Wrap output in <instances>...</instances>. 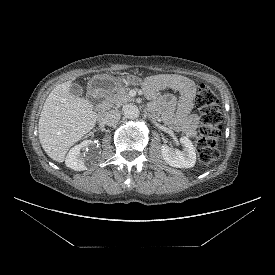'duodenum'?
Wrapping results in <instances>:
<instances>
[{"instance_id": "1", "label": "duodenum", "mask_w": 275, "mask_h": 275, "mask_svg": "<svg viewBox=\"0 0 275 275\" xmlns=\"http://www.w3.org/2000/svg\"><path fill=\"white\" fill-rule=\"evenodd\" d=\"M93 97L99 101L98 105V121H101L108 110V104L104 99V94L99 89L92 90Z\"/></svg>"}]
</instances>
